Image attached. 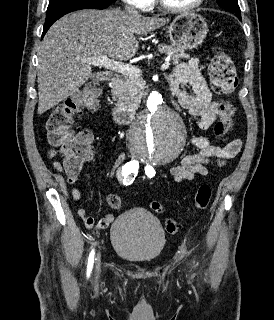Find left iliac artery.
I'll use <instances>...</instances> for the list:
<instances>
[{
	"mask_svg": "<svg viewBox=\"0 0 274 320\" xmlns=\"http://www.w3.org/2000/svg\"><path fill=\"white\" fill-rule=\"evenodd\" d=\"M145 173L148 177L152 178L155 176L156 172L151 165L147 164V166L145 167Z\"/></svg>",
	"mask_w": 274,
	"mask_h": 320,
	"instance_id": "1",
	"label": "left iliac artery"
}]
</instances>
